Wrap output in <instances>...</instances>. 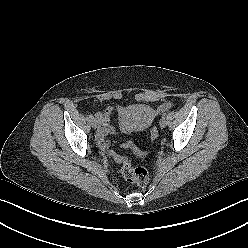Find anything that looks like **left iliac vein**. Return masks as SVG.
<instances>
[{"instance_id":"obj_1","label":"left iliac vein","mask_w":248,"mask_h":248,"mask_svg":"<svg viewBox=\"0 0 248 248\" xmlns=\"http://www.w3.org/2000/svg\"><path fill=\"white\" fill-rule=\"evenodd\" d=\"M159 125H160L161 128H165L166 125H167L166 118H161Z\"/></svg>"}]
</instances>
